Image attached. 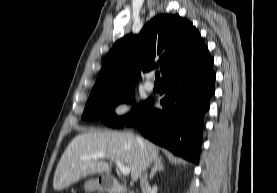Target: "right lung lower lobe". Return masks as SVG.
I'll return each instance as SVG.
<instances>
[{"label":"right lung lower lobe","mask_w":277,"mask_h":193,"mask_svg":"<svg viewBox=\"0 0 277 193\" xmlns=\"http://www.w3.org/2000/svg\"><path fill=\"white\" fill-rule=\"evenodd\" d=\"M213 59L206 47L189 62L163 77L162 109H154L149 98L127 126L137 127L144 137L176 155L198 163L204 114L214 94ZM124 124V125H125Z\"/></svg>","instance_id":"right-lung-lower-lobe-1"}]
</instances>
